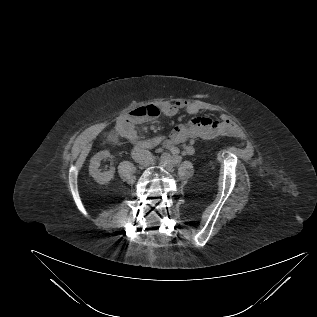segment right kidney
I'll use <instances>...</instances> for the list:
<instances>
[{"instance_id": "ca27d5eb", "label": "right kidney", "mask_w": 317, "mask_h": 317, "mask_svg": "<svg viewBox=\"0 0 317 317\" xmlns=\"http://www.w3.org/2000/svg\"><path fill=\"white\" fill-rule=\"evenodd\" d=\"M110 157V153L107 150L96 153L90 160L89 173L94 180L99 184L108 183L114 176L115 168L111 167L106 172H101L99 169L102 160Z\"/></svg>"}]
</instances>
